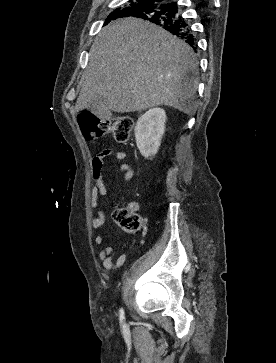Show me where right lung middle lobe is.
<instances>
[{"mask_svg":"<svg viewBox=\"0 0 276 363\" xmlns=\"http://www.w3.org/2000/svg\"><path fill=\"white\" fill-rule=\"evenodd\" d=\"M131 2L128 6L123 7L122 9L117 8L115 11L111 12L108 18L105 21V24H108L111 20L117 19L119 17H128L135 16L136 14L143 12L155 5L161 4L163 1L160 0H136L135 2Z\"/></svg>","mask_w":276,"mask_h":363,"instance_id":"right-lung-middle-lobe-1","label":"right lung middle lobe"}]
</instances>
